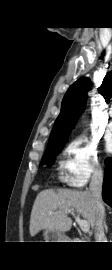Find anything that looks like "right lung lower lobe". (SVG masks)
<instances>
[{"mask_svg":"<svg viewBox=\"0 0 112 270\" xmlns=\"http://www.w3.org/2000/svg\"><path fill=\"white\" fill-rule=\"evenodd\" d=\"M105 175L103 182V200L112 207V157L105 160Z\"/></svg>","mask_w":112,"mask_h":270,"instance_id":"right-lung-lower-lobe-1","label":"right lung lower lobe"}]
</instances>
